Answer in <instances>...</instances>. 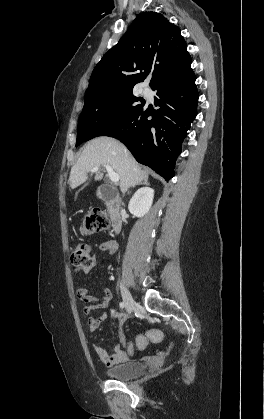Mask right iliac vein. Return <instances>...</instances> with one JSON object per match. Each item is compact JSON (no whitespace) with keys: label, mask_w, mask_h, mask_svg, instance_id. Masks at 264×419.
<instances>
[{"label":"right iliac vein","mask_w":264,"mask_h":419,"mask_svg":"<svg viewBox=\"0 0 264 419\" xmlns=\"http://www.w3.org/2000/svg\"><path fill=\"white\" fill-rule=\"evenodd\" d=\"M120 288H121V294H122V298L126 306V309L129 313H131L136 308L137 304L132 298L128 289L123 284L120 285Z\"/></svg>","instance_id":"63e3f726"}]
</instances>
